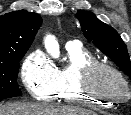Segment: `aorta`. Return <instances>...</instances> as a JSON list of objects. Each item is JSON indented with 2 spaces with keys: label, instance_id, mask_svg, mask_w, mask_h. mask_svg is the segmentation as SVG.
<instances>
[{
  "label": "aorta",
  "instance_id": "762f6f07",
  "mask_svg": "<svg viewBox=\"0 0 131 115\" xmlns=\"http://www.w3.org/2000/svg\"><path fill=\"white\" fill-rule=\"evenodd\" d=\"M45 48L47 52L54 58H58L60 55L59 44L54 36L48 35L44 40Z\"/></svg>",
  "mask_w": 131,
  "mask_h": 115
}]
</instances>
